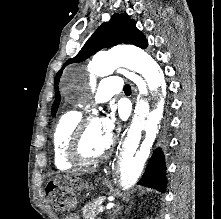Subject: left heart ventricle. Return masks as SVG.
<instances>
[{
    "label": "left heart ventricle",
    "instance_id": "obj_1",
    "mask_svg": "<svg viewBox=\"0 0 221 219\" xmlns=\"http://www.w3.org/2000/svg\"><path fill=\"white\" fill-rule=\"evenodd\" d=\"M109 140L110 136L101 128L100 121L97 119L91 120L81 142V155L85 158L100 155L106 150Z\"/></svg>",
    "mask_w": 221,
    "mask_h": 219
}]
</instances>
